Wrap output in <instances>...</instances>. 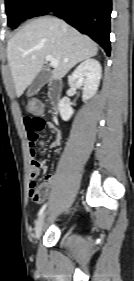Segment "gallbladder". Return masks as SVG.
Wrapping results in <instances>:
<instances>
[{
    "label": "gallbladder",
    "instance_id": "bac80fb5",
    "mask_svg": "<svg viewBox=\"0 0 134 281\" xmlns=\"http://www.w3.org/2000/svg\"><path fill=\"white\" fill-rule=\"evenodd\" d=\"M51 78V73L45 69H42L32 81L29 89L28 96L37 93Z\"/></svg>",
    "mask_w": 134,
    "mask_h": 281
}]
</instances>
